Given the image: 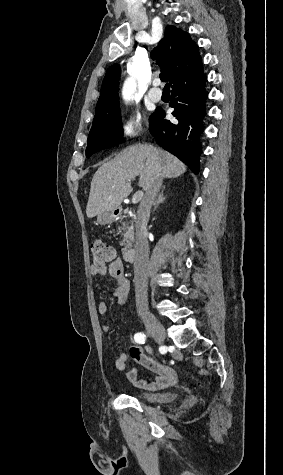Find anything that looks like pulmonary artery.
Instances as JSON below:
<instances>
[{
	"instance_id": "e3ab8cb5",
	"label": "pulmonary artery",
	"mask_w": 283,
	"mask_h": 475,
	"mask_svg": "<svg viewBox=\"0 0 283 475\" xmlns=\"http://www.w3.org/2000/svg\"><path fill=\"white\" fill-rule=\"evenodd\" d=\"M153 87L150 89V94L152 96H161L163 94V89L160 86V84H152ZM124 90H137V89H124ZM151 100L153 102H159L160 98L157 97H151Z\"/></svg>"
}]
</instances>
